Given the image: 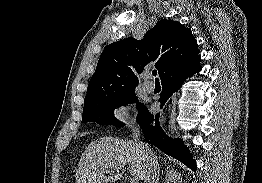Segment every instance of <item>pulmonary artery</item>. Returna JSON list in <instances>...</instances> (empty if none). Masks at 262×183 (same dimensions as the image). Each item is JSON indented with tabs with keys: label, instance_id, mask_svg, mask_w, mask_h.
Returning <instances> with one entry per match:
<instances>
[{
	"label": "pulmonary artery",
	"instance_id": "1",
	"mask_svg": "<svg viewBox=\"0 0 262 183\" xmlns=\"http://www.w3.org/2000/svg\"><path fill=\"white\" fill-rule=\"evenodd\" d=\"M150 75H146L145 76V81L143 83V88L147 91V92H152L154 90V84L149 81Z\"/></svg>",
	"mask_w": 262,
	"mask_h": 183
}]
</instances>
